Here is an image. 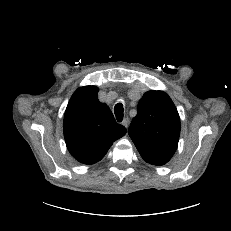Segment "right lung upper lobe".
Returning <instances> with one entry per match:
<instances>
[{"mask_svg":"<svg viewBox=\"0 0 231 231\" xmlns=\"http://www.w3.org/2000/svg\"><path fill=\"white\" fill-rule=\"evenodd\" d=\"M99 89L85 86L72 95L64 115L63 131L70 154L83 164L101 160L114 141L126 134L109 107L98 100Z\"/></svg>","mask_w":231,"mask_h":231,"instance_id":"obj_1","label":"right lung upper lobe"}]
</instances>
